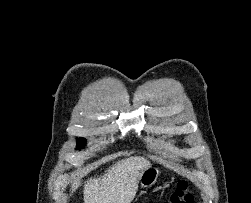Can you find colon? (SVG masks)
Returning a JSON list of instances; mask_svg holds the SVG:
<instances>
[{"instance_id": "1", "label": "colon", "mask_w": 251, "mask_h": 203, "mask_svg": "<svg viewBox=\"0 0 251 203\" xmlns=\"http://www.w3.org/2000/svg\"><path fill=\"white\" fill-rule=\"evenodd\" d=\"M187 183L180 181L170 198L163 203H191L192 197L187 191Z\"/></svg>"}]
</instances>
